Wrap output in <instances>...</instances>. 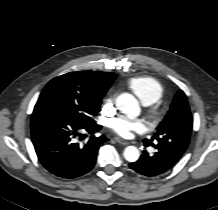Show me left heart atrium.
<instances>
[{
	"label": "left heart atrium",
	"mask_w": 218,
	"mask_h": 210,
	"mask_svg": "<svg viewBox=\"0 0 218 210\" xmlns=\"http://www.w3.org/2000/svg\"><path fill=\"white\" fill-rule=\"evenodd\" d=\"M112 130L118 135L129 138L133 133H143L147 124L142 119L117 118L111 122Z\"/></svg>",
	"instance_id": "39dd6f15"
}]
</instances>
